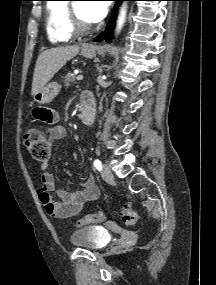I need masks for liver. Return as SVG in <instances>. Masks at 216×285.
Masks as SVG:
<instances>
[{
	"mask_svg": "<svg viewBox=\"0 0 216 285\" xmlns=\"http://www.w3.org/2000/svg\"><path fill=\"white\" fill-rule=\"evenodd\" d=\"M79 50L78 45H70L54 47L40 53L33 74L32 95L38 93Z\"/></svg>",
	"mask_w": 216,
	"mask_h": 285,
	"instance_id": "6515ba94",
	"label": "liver"
}]
</instances>
